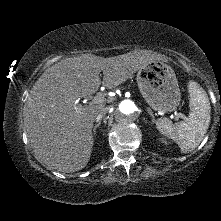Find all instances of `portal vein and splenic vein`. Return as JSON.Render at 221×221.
<instances>
[{"label": "portal vein and splenic vein", "mask_w": 221, "mask_h": 221, "mask_svg": "<svg viewBox=\"0 0 221 221\" xmlns=\"http://www.w3.org/2000/svg\"><path fill=\"white\" fill-rule=\"evenodd\" d=\"M105 100H106V99H105V96H104L103 94L99 93L97 96H95V97L93 98L91 104H101V103L105 102ZM175 116H176L177 118H182V119H185V118H186L185 115L180 114V113H176V112H175Z\"/></svg>", "instance_id": "18ae733b"}]
</instances>
